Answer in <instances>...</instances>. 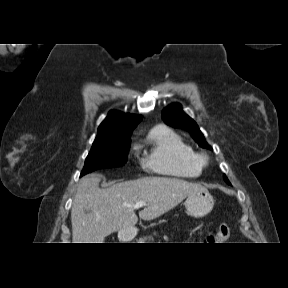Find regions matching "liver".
Wrapping results in <instances>:
<instances>
[{"instance_id": "1", "label": "liver", "mask_w": 288, "mask_h": 288, "mask_svg": "<svg viewBox=\"0 0 288 288\" xmlns=\"http://www.w3.org/2000/svg\"><path fill=\"white\" fill-rule=\"evenodd\" d=\"M100 176L81 178L71 209L73 243H103L113 232L133 231L136 202H146L139 217L151 221L176 207L189 195L205 189L170 177H145L100 189Z\"/></svg>"}]
</instances>
